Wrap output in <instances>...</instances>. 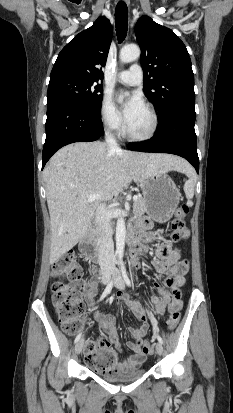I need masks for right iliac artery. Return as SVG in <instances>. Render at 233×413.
Wrapping results in <instances>:
<instances>
[{
	"instance_id": "1",
	"label": "right iliac artery",
	"mask_w": 233,
	"mask_h": 413,
	"mask_svg": "<svg viewBox=\"0 0 233 413\" xmlns=\"http://www.w3.org/2000/svg\"><path fill=\"white\" fill-rule=\"evenodd\" d=\"M113 284H114L113 280L109 282V284L107 285V287L105 288L103 294L100 297V301L103 300L111 292ZM80 338H81V333H79L77 335V337L75 338V343H77Z\"/></svg>"
}]
</instances>
